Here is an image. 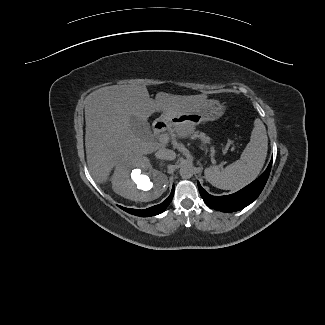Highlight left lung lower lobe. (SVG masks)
Here are the masks:
<instances>
[{
  "instance_id": "obj_1",
  "label": "left lung lower lobe",
  "mask_w": 325,
  "mask_h": 325,
  "mask_svg": "<svg viewBox=\"0 0 325 325\" xmlns=\"http://www.w3.org/2000/svg\"><path fill=\"white\" fill-rule=\"evenodd\" d=\"M272 159L265 170L255 181L239 190L226 196H212L208 194L198 182V189L204 202L215 210L222 212H235L251 204L263 190L270 174Z\"/></svg>"
}]
</instances>
